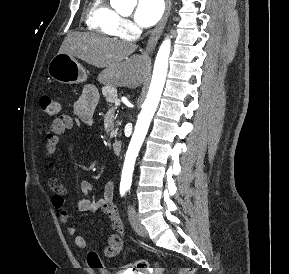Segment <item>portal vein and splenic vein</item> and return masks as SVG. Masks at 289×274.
<instances>
[{
  "label": "portal vein and splenic vein",
  "instance_id": "obj_1",
  "mask_svg": "<svg viewBox=\"0 0 289 274\" xmlns=\"http://www.w3.org/2000/svg\"><path fill=\"white\" fill-rule=\"evenodd\" d=\"M115 105H120V100H119V99H117V100L115 101Z\"/></svg>",
  "mask_w": 289,
  "mask_h": 274
}]
</instances>
